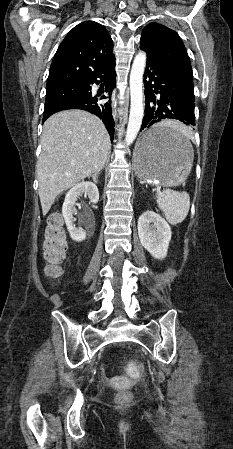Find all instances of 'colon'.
I'll return each instance as SVG.
<instances>
[{
	"mask_svg": "<svg viewBox=\"0 0 233 449\" xmlns=\"http://www.w3.org/2000/svg\"><path fill=\"white\" fill-rule=\"evenodd\" d=\"M45 257L49 262L48 273L56 276L59 273V263L63 259L66 250L65 235L61 227V218L53 216L49 219L44 242ZM128 392L121 391L117 397L119 404H124L128 399Z\"/></svg>",
	"mask_w": 233,
	"mask_h": 449,
	"instance_id": "obj_1",
	"label": "colon"
}]
</instances>
